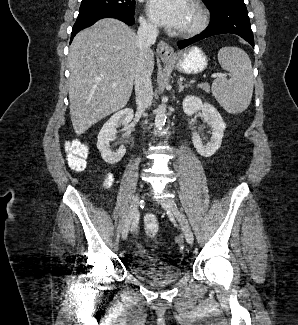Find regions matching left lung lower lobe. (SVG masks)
Instances as JSON below:
<instances>
[{
	"mask_svg": "<svg viewBox=\"0 0 298 325\" xmlns=\"http://www.w3.org/2000/svg\"><path fill=\"white\" fill-rule=\"evenodd\" d=\"M225 33L237 34L254 47V37L244 1L226 5L212 13L210 24L202 33L193 38L179 41L177 45L179 49H183L204 38Z\"/></svg>",
	"mask_w": 298,
	"mask_h": 325,
	"instance_id": "1",
	"label": "left lung lower lobe"
}]
</instances>
